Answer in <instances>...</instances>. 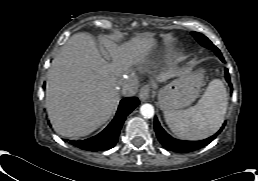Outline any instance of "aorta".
Listing matches in <instances>:
<instances>
[{"mask_svg":"<svg viewBox=\"0 0 258 181\" xmlns=\"http://www.w3.org/2000/svg\"><path fill=\"white\" fill-rule=\"evenodd\" d=\"M140 113L145 118H152L154 116V107L151 104H143L140 107Z\"/></svg>","mask_w":258,"mask_h":181,"instance_id":"1","label":"aorta"}]
</instances>
